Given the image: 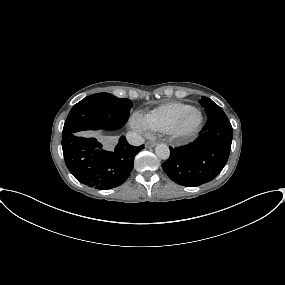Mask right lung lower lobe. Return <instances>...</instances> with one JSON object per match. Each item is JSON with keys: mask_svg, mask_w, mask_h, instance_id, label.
Masks as SVG:
<instances>
[{"mask_svg": "<svg viewBox=\"0 0 285 285\" xmlns=\"http://www.w3.org/2000/svg\"><path fill=\"white\" fill-rule=\"evenodd\" d=\"M143 145H130L125 136L119 138L113 150H106L94 138L81 134L63 137L65 163L72 175L81 183L100 190L123 184L129 177L135 155Z\"/></svg>", "mask_w": 285, "mask_h": 285, "instance_id": "obj_1", "label": "right lung lower lobe"}]
</instances>
